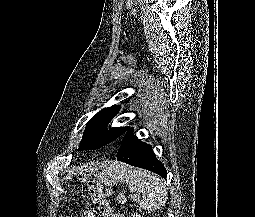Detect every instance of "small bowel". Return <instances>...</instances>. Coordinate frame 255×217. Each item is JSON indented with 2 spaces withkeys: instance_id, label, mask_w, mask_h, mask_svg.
<instances>
[{
  "instance_id": "obj_1",
  "label": "small bowel",
  "mask_w": 255,
  "mask_h": 217,
  "mask_svg": "<svg viewBox=\"0 0 255 217\" xmlns=\"http://www.w3.org/2000/svg\"><path fill=\"white\" fill-rule=\"evenodd\" d=\"M106 205H107V210L103 214L108 217L111 215V212H110V209H109V206L107 203H106ZM80 217H95V216H94L93 212L85 211V212L81 213Z\"/></svg>"
}]
</instances>
